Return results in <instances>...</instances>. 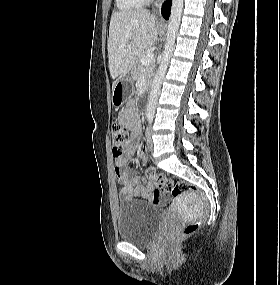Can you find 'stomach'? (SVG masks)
<instances>
[{
  "label": "stomach",
  "instance_id": "0dacf381",
  "mask_svg": "<svg viewBox=\"0 0 280 285\" xmlns=\"http://www.w3.org/2000/svg\"><path fill=\"white\" fill-rule=\"evenodd\" d=\"M132 82V77L128 75L116 83L112 93L113 105L120 106L121 104H123L124 100L128 96V91L132 85Z\"/></svg>",
  "mask_w": 280,
  "mask_h": 285
}]
</instances>
